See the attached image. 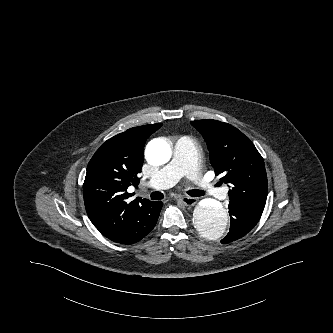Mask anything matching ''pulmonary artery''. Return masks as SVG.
Returning <instances> with one entry per match:
<instances>
[{
	"mask_svg": "<svg viewBox=\"0 0 333 333\" xmlns=\"http://www.w3.org/2000/svg\"><path fill=\"white\" fill-rule=\"evenodd\" d=\"M183 176L190 178L198 190L217 195L219 190L205 181L197 167V147L194 140L187 136L180 137L174 147L172 160L155 176L150 178L146 186L166 189L175 185ZM224 193V191H221Z\"/></svg>",
	"mask_w": 333,
	"mask_h": 333,
	"instance_id": "obj_1",
	"label": "pulmonary artery"
}]
</instances>
